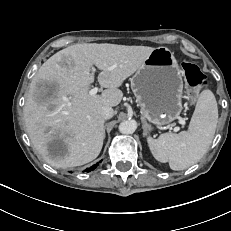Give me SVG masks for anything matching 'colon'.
Returning <instances> with one entry per match:
<instances>
[{
	"label": "colon",
	"instance_id": "1",
	"mask_svg": "<svg viewBox=\"0 0 231 231\" xmlns=\"http://www.w3.org/2000/svg\"><path fill=\"white\" fill-rule=\"evenodd\" d=\"M182 70L184 72L187 85L194 93L200 90L206 84V77L201 70L193 63L183 62Z\"/></svg>",
	"mask_w": 231,
	"mask_h": 231
}]
</instances>
